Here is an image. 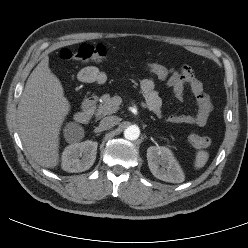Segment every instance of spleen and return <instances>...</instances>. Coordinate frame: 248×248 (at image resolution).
<instances>
[{"instance_id":"1","label":"spleen","mask_w":248,"mask_h":248,"mask_svg":"<svg viewBox=\"0 0 248 248\" xmlns=\"http://www.w3.org/2000/svg\"><path fill=\"white\" fill-rule=\"evenodd\" d=\"M209 158V154L206 151H199L196 154L194 166L196 169H200L205 166Z\"/></svg>"}]
</instances>
